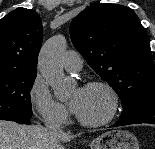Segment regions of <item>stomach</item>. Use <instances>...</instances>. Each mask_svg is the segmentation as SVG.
I'll list each match as a JSON object with an SVG mask.
<instances>
[{
	"mask_svg": "<svg viewBox=\"0 0 155 149\" xmlns=\"http://www.w3.org/2000/svg\"><path fill=\"white\" fill-rule=\"evenodd\" d=\"M90 149H139L137 138L129 131L112 129L95 138Z\"/></svg>",
	"mask_w": 155,
	"mask_h": 149,
	"instance_id": "0dacf381",
	"label": "stomach"
}]
</instances>
